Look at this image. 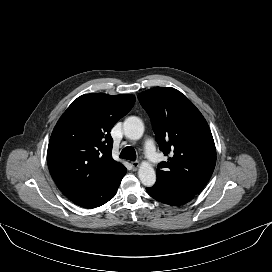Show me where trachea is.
Masks as SVG:
<instances>
[{"label": "trachea", "instance_id": "3493384b", "mask_svg": "<svg viewBox=\"0 0 272 272\" xmlns=\"http://www.w3.org/2000/svg\"><path fill=\"white\" fill-rule=\"evenodd\" d=\"M119 157L122 159L135 161L136 160V152L133 147L127 146L121 151Z\"/></svg>", "mask_w": 272, "mask_h": 272}]
</instances>
